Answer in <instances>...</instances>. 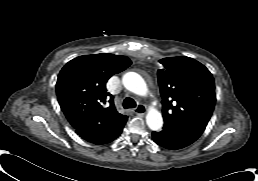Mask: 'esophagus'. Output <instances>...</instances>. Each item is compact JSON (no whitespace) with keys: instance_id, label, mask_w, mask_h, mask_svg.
<instances>
[{"instance_id":"1","label":"esophagus","mask_w":258,"mask_h":181,"mask_svg":"<svg viewBox=\"0 0 258 181\" xmlns=\"http://www.w3.org/2000/svg\"><path fill=\"white\" fill-rule=\"evenodd\" d=\"M134 113L137 115H144L146 113V106L143 104H139L135 109Z\"/></svg>"}]
</instances>
